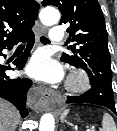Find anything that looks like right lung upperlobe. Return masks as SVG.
Listing matches in <instances>:
<instances>
[{
	"mask_svg": "<svg viewBox=\"0 0 117 131\" xmlns=\"http://www.w3.org/2000/svg\"><path fill=\"white\" fill-rule=\"evenodd\" d=\"M38 10L34 0H0V50L32 33Z\"/></svg>",
	"mask_w": 117,
	"mask_h": 131,
	"instance_id": "obj_1",
	"label": "right lung upper lobe"
}]
</instances>
